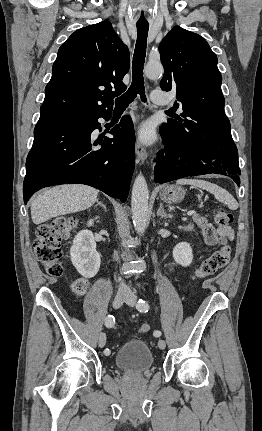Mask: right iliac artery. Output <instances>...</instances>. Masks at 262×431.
<instances>
[{
  "label": "right iliac artery",
  "instance_id": "obj_1",
  "mask_svg": "<svg viewBox=\"0 0 262 431\" xmlns=\"http://www.w3.org/2000/svg\"><path fill=\"white\" fill-rule=\"evenodd\" d=\"M114 324H115V317H114L113 315H108V316L105 318V326H106V327H108V328H111V327H113V326H114ZM104 353H105L106 355H109V354H110V350H109V349H106V350L104 351Z\"/></svg>",
  "mask_w": 262,
  "mask_h": 431
}]
</instances>
